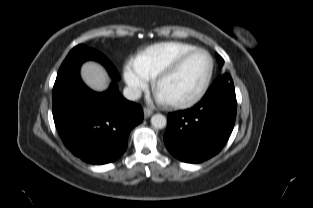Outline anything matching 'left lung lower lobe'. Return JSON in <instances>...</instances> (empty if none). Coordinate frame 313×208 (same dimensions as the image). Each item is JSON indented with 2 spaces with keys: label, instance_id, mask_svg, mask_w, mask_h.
Returning a JSON list of instances; mask_svg holds the SVG:
<instances>
[{
  "label": "left lung lower lobe",
  "instance_id": "left-lung-lower-lobe-1",
  "mask_svg": "<svg viewBox=\"0 0 313 208\" xmlns=\"http://www.w3.org/2000/svg\"><path fill=\"white\" fill-rule=\"evenodd\" d=\"M236 118V95L229 74L216 79L191 109L168 114L164 142L169 152L187 163H200L226 144Z\"/></svg>",
  "mask_w": 313,
  "mask_h": 208
}]
</instances>
